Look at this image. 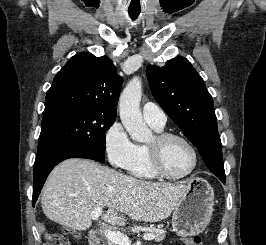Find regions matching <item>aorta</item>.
I'll use <instances>...</instances> for the list:
<instances>
[{"mask_svg": "<svg viewBox=\"0 0 266 245\" xmlns=\"http://www.w3.org/2000/svg\"><path fill=\"white\" fill-rule=\"evenodd\" d=\"M141 94L142 80H140L139 76H134L126 84L119 98L122 125L129 133L132 141H137V143H145V141L151 139V131L144 123L139 106Z\"/></svg>", "mask_w": 266, "mask_h": 245, "instance_id": "aorta-1", "label": "aorta"}]
</instances>
